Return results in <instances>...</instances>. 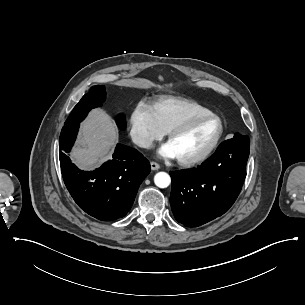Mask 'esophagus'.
I'll return each mask as SVG.
<instances>
[{"mask_svg": "<svg viewBox=\"0 0 305 305\" xmlns=\"http://www.w3.org/2000/svg\"><path fill=\"white\" fill-rule=\"evenodd\" d=\"M150 165H151V169L153 171H156L160 168V165L158 163L154 162V161H151Z\"/></svg>", "mask_w": 305, "mask_h": 305, "instance_id": "obj_1", "label": "esophagus"}]
</instances>
